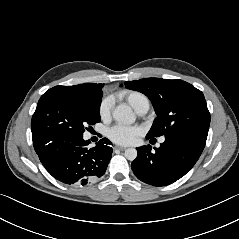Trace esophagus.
I'll return each instance as SVG.
<instances>
[{
	"instance_id": "34e87169",
	"label": "esophagus",
	"mask_w": 239,
	"mask_h": 239,
	"mask_svg": "<svg viewBox=\"0 0 239 239\" xmlns=\"http://www.w3.org/2000/svg\"><path fill=\"white\" fill-rule=\"evenodd\" d=\"M115 149H118V150L124 151L126 148H125V147H122V146H115Z\"/></svg>"
}]
</instances>
